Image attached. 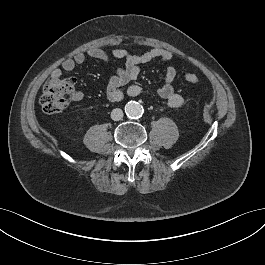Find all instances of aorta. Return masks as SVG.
Returning <instances> with one entry per match:
<instances>
[{
  "label": "aorta",
  "mask_w": 265,
  "mask_h": 265,
  "mask_svg": "<svg viewBox=\"0 0 265 265\" xmlns=\"http://www.w3.org/2000/svg\"><path fill=\"white\" fill-rule=\"evenodd\" d=\"M125 113L130 118L140 117L143 113V107L136 101H130L125 105Z\"/></svg>",
  "instance_id": "obj_1"
}]
</instances>
